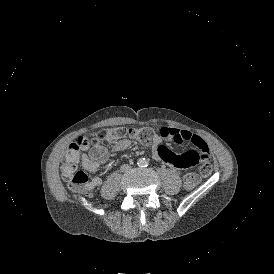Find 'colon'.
<instances>
[{"label": "colon", "instance_id": "obj_1", "mask_svg": "<svg viewBox=\"0 0 274 274\" xmlns=\"http://www.w3.org/2000/svg\"><path fill=\"white\" fill-rule=\"evenodd\" d=\"M123 135H125V132L120 127L106 128L100 133L101 140L104 144H112ZM126 135L139 142H147L152 138L153 130L149 128L131 127L127 130ZM76 143L77 146L68 147L64 155L65 162L62 165V171L68 178L71 186L75 189H85L86 187H90V184L88 175L78 168L79 147L89 148L90 142L80 136ZM200 180L201 177H198L192 170L183 177L182 182L186 188L190 189L195 187Z\"/></svg>", "mask_w": 274, "mask_h": 274}]
</instances>
